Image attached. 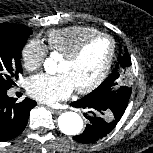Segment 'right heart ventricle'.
<instances>
[{
  "label": "right heart ventricle",
  "mask_w": 153,
  "mask_h": 153,
  "mask_svg": "<svg viewBox=\"0 0 153 153\" xmlns=\"http://www.w3.org/2000/svg\"><path fill=\"white\" fill-rule=\"evenodd\" d=\"M100 33L90 26H70L50 31L46 36L48 48L62 56L72 51L85 38Z\"/></svg>",
  "instance_id": "e07e8e85"
}]
</instances>
